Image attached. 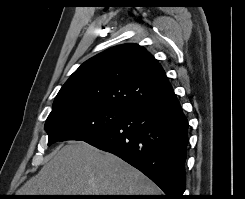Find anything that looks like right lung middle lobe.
Wrapping results in <instances>:
<instances>
[{
  "label": "right lung middle lobe",
  "mask_w": 245,
  "mask_h": 199,
  "mask_svg": "<svg viewBox=\"0 0 245 199\" xmlns=\"http://www.w3.org/2000/svg\"><path fill=\"white\" fill-rule=\"evenodd\" d=\"M129 111L95 103L64 107L46 120L48 145L57 141L87 140L120 122Z\"/></svg>",
  "instance_id": "1"
}]
</instances>
